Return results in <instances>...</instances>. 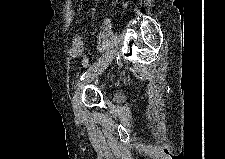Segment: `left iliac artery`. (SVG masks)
I'll return each instance as SVG.
<instances>
[{"label": "left iliac artery", "mask_w": 225, "mask_h": 159, "mask_svg": "<svg viewBox=\"0 0 225 159\" xmlns=\"http://www.w3.org/2000/svg\"><path fill=\"white\" fill-rule=\"evenodd\" d=\"M109 54V52L105 53L102 57H100L94 64L92 67H90L86 72H84L80 78L79 81L77 82L76 86H78V84L84 80V78L97 66H99L101 64V62L103 61V59Z\"/></svg>", "instance_id": "left-iliac-artery-1"}]
</instances>
